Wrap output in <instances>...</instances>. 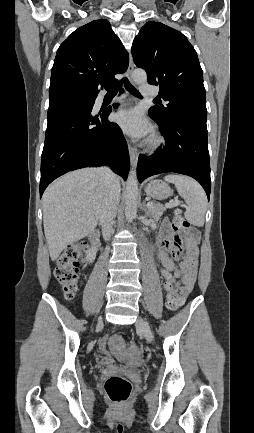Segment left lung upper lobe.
<instances>
[{"label": "left lung upper lobe", "mask_w": 254, "mask_h": 433, "mask_svg": "<svg viewBox=\"0 0 254 433\" xmlns=\"http://www.w3.org/2000/svg\"><path fill=\"white\" fill-rule=\"evenodd\" d=\"M132 55L137 67L146 71L148 82L159 85V96L168 102L149 109L158 121L187 113L207 118L203 72L195 49L182 33L149 21L135 37Z\"/></svg>", "instance_id": "left-lung-upper-lobe-1"}]
</instances>
